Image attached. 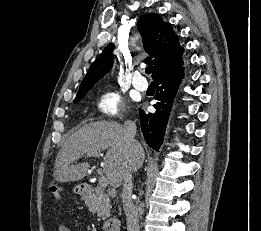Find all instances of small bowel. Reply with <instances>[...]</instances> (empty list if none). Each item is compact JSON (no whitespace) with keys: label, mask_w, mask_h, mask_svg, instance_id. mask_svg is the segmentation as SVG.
Returning <instances> with one entry per match:
<instances>
[{"label":"small bowel","mask_w":261,"mask_h":231,"mask_svg":"<svg viewBox=\"0 0 261 231\" xmlns=\"http://www.w3.org/2000/svg\"><path fill=\"white\" fill-rule=\"evenodd\" d=\"M58 231H72V229L66 225H60Z\"/></svg>","instance_id":"small-bowel-1"}]
</instances>
